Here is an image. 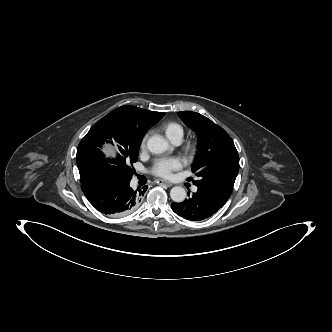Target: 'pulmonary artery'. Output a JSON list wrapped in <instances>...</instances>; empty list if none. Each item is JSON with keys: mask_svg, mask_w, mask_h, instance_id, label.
I'll return each mask as SVG.
<instances>
[{"mask_svg": "<svg viewBox=\"0 0 332 332\" xmlns=\"http://www.w3.org/2000/svg\"><path fill=\"white\" fill-rule=\"evenodd\" d=\"M179 143H180V141L173 142V144H176V145L179 144ZM196 189H197L196 187L193 188L194 191H196Z\"/></svg>", "mask_w": 332, "mask_h": 332, "instance_id": "e3ab8cb5", "label": "pulmonary artery"}]
</instances>
